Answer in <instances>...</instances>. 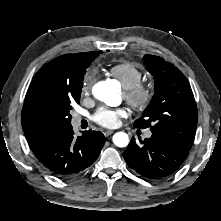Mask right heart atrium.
Segmentation results:
<instances>
[{
    "label": "right heart atrium",
    "mask_w": 221,
    "mask_h": 221,
    "mask_svg": "<svg viewBox=\"0 0 221 221\" xmlns=\"http://www.w3.org/2000/svg\"><path fill=\"white\" fill-rule=\"evenodd\" d=\"M93 81H94V73L92 72L86 73L83 78L82 85H81L82 95L84 96L89 95Z\"/></svg>",
    "instance_id": "d8ad5b80"
}]
</instances>
